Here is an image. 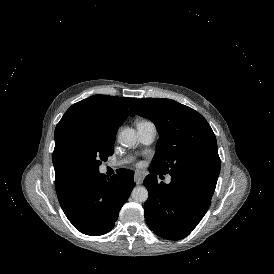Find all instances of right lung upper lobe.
<instances>
[{
	"mask_svg": "<svg viewBox=\"0 0 274 274\" xmlns=\"http://www.w3.org/2000/svg\"><path fill=\"white\" fill-rule=\"evenodd\" d=\"M134 100L135 98L93 95L73 104L66 111L57 124L54 134L55 188L61 187L73 177L59 160V150L64 139L71 133L91 124H122Z\"/></svg>",
	"mask_w": 274,
	"mask_h": 274,
	"instance_id": "obj_1",
	"label": "right lung upper lobe"
}]
</instances>
